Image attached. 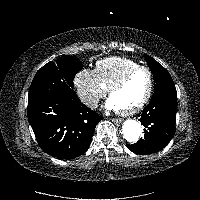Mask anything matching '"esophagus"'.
I'll list each match as a JSON object with an SVG mask.
<instances>
[{"mask_svg":"<svg viewBox=\"0 0 200 200\" xmlns=\"http://www.w3.org/2000/svg\"><path fill=\"white\" fill-rule=\"evenodd\" d=\"M112 121H113L114 123H116V124H120V123L122 122V120L119 119V118H113Z\"/></svg>","mask_w":200,"mask_h":200,"instance_id":"34e87169","label":"esophagus"}]
</instances>
